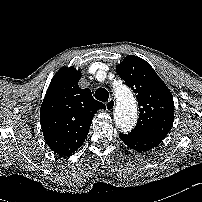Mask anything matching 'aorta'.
Instances as JSON below:
<instances>
[{
  "mask_svg": "<svg viewBox=\"0 0 202 202\" xmlns=\"http://www.w3.org/2000/svg\"><path fill=\"white\" fill-rule=\"evenodd\" d=\"M117 106L114 112V120L122 132H129L137 122V105L131 90L122 86L115 91Z\"/></svg>",
  "mask_w": 202,
  "mask_h": 202,
  "instance_id": "1",
  "label": "aorta"
}]
</instances>
